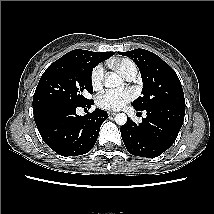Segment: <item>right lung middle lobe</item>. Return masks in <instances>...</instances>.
I'll return each mask as SVG.
<instances>
[{"instance_id":"1","label":"right lung middle lobe","mask_w":214,"mask_h":214,"mask_svg":"<svg viewBox=\"0 0 214 214\" xmlns=\"http://www.w3.org/2000/svg\"><path fill=\"white\" fill-rule=\"evenodd\" d=\"M97 64L85 57H61L43 73L33 96V110L52 103L81 104L93 92L91 73Z\"/></svg>"}]
</instances>
